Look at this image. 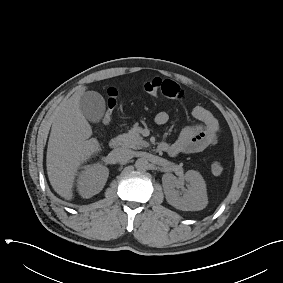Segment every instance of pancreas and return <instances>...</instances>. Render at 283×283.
<instances>
[{
    "instance_id": "cf45deb5",
    "label": "pancreas",
    "mask_w": 283,
    "mask_h": 283,
    "mask_svg": "<svg viewBox=\"0 0 283 283\" xmlns=\"http://www.w3.org/2000/svg\"><path fill=\"white\" fill-rule=\"evenodd\" d=\"M141 128L135 124L128 133L119 136L122 146L126 148L142 149L148 147V142L140 136Z\"/></svg>"
}]
</instances>
